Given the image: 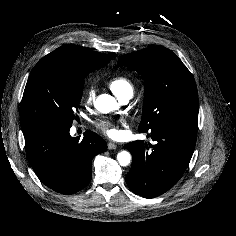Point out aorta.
Wrapping results in <instances>:
<instances>
[{
	"mask_svg": "<svg viewBox=\"0 0 236 236\" xmlns=\"http://www.w3.org/2000/svg\"><path fill=\"white\" fill-rule=\"evenodd\" d=\"M94 105L102 113H110L119 108L116 99L108 94L100 95ZM117 160L121 166H127L131 161V154L128 151H121L117 154Z\"/></svg>",
	"mask_w": 236,
	"mask_h": 236,
	"instance_id": "obj_1",
	"label": "aorta"
}]
</instances>
